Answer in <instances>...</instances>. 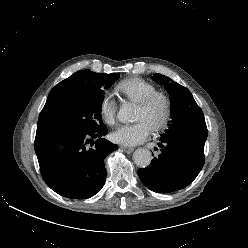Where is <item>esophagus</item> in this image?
<instances>
[{
  "label": "esophagus",
  "instance_id": "34e87169",
  "mask_svg": "<svg viewBox=\"0 0 248 248\" xmlns=\"http://www.w3.org/2000/svg\"><path fill=\"white\" fill-rule=\"evenodd\" d=\"M120 148L122 149V150H124L125 152H127V153H131V152H133V148H131V147H126V146H120Z\"/></svg>",
  "mask_w": 248,
  "mask_h": 248
}]
</instances>
